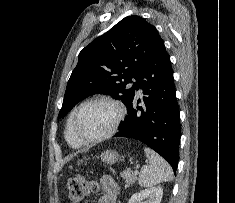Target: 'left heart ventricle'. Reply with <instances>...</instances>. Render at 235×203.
I'll return each mask as SVG.
<instances>
[{
	"instance_id": "1",
	"label": "left heart ventricle",
	"mask_w": 235,
	"mask_h": 203,
	"mask_svg": "<svg viewBox=\"0 0 235 203\" xmlns=\"http://www.w3.org/2000/svg\"><path fill=\"white\" fill-rule=\"evenodd\" d=\"M117 116L116 107L107 102L85 106L79 114L77 128L86 138L99 137L110 130Z\"/></svg>"
}]
</instances>
